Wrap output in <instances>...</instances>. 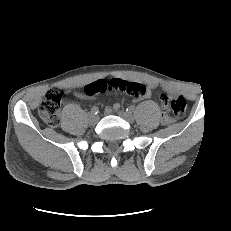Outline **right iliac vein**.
<instances>
[{
  "mask_svg": "<svg viewBox=\"0 0 231 231\" xmlns=\"http://www.w3.org/2000/svg\"><path fill=\"white\" fill-rule=\"evenodd\" d=\"M98 120H99V117L97 115H95V114H90L89 115L90 124L94 125V124H96L98 122Z\"/></svg>",
  "mask_w": 231,
  "mask_h": 231,
  "instance_id": "right-iliac-vein-1",
  "label": "right iliac vein"
}]
</instances>
